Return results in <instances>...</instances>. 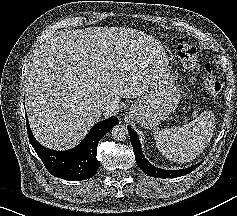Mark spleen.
Returning a JSON list of instances; mask_svg holds the SVG:
<instances>
[{
    "label": "spleen",
    "mask_w": 237,
    "mask_h": 216,
    "mask_svg": "<svg viewBox=\"0 0 237 216\" xmlns=\"http://www.w3.org/2000/svg\"><path fill=\"white\" fill-rule=\"evenodd\" d=\"M214 124L208 113L182 126L172 128H153L158 150L168 159L188 161L194 159L206 147L212 137Z\"/></svg>",
    "instance_id": "obj_1"
}]
</instances>
